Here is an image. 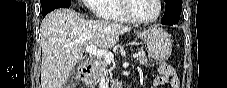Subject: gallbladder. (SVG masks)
Returning a JSON list of instances; mask_svg holds the SVG:
<instances>
[{"label": "gallbladder", "instance_id": "bac80fb5", "mask_svg": "<svg viewBox=\"0 0 227 88\" xmlns=\"http://www.w3.org/2000/svg\"><path fill=\"white\" fill-rule=\"evenodd\" d=\"M84 60H81L78 62V65L71 71L69 78L67 79L66 85L67 86H74L78 82V77H77V69L79 66L83 64Z\"/></svg>", "mask_w": 227, "mask_h": 88}]
</instances>
